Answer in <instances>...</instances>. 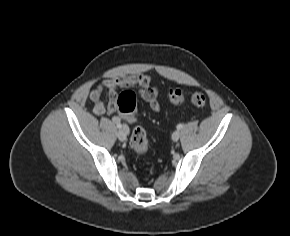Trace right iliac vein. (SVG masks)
Instances as JSON below:
<instances>
[{"instance_id":"63e3f726","label":"right iliac vein","mask_w":290,"mask_h":236,"mask_svg":"<svg viewBox=\"0 0 290 236\" xmlns=\"http://www.w3.org/2000/svg\"><path fill=\"white\" fill-rule=\"evenodd\" d=\"M127 133H128V127L123 126L118 132H117V137L120 141H125L127 138Z\"/></svg>"}]
</instances>
